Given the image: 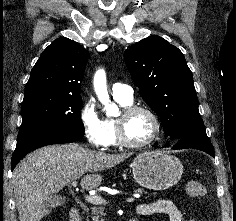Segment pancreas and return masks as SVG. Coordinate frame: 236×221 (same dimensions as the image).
<instances>
[{
	"instance_id": "1",
	"label": "pancreas",
	"mask_w": 236,
	"mask_h": 221,
	"mask_svg": "<svg viewBox=\"0 0 236 221\" xmlns=\"http://www.w3.org/2000/svg\"><path fill=\"white\" fill-rule=\"evenodd\" d=\"M139 193H142L143 190L138 188L136 190ZM104 208L103 207H92L91 208V214H87V221H89V218H91L93 221H104Z\"/></svg>"
}]
</instances>
